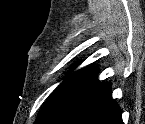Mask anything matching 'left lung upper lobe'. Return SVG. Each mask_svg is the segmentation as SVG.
<instances>
[{"mask_svg":"<svg viewBox=\"0 0 145 124\" xmlns=\"http://www.w3.org/2000/svg\"><path fill=\"white\" fill-rule=\"evenodd\" d=\"M97 73V69H82L68 75L41 109L35 123L45 124L53 118Z\"/></svg>","mask_w":145,"mask_h":124,"instance_id":"left-lung-upper-lobe-1","label":"left lung upper lobe"}]
</instances>
